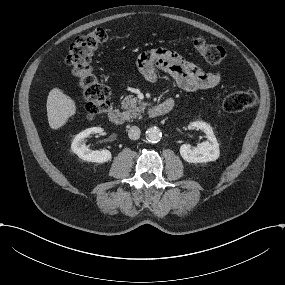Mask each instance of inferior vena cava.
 <instances>
[{
	"mask_svg": "<svg viewBox=\"0 0 285 285\" xmlns=\"http://www.w3.org/2000/svg\"><path fill=\"white\" fill-rule=\"evenodd\" d=\"M128 136L132 140H137L140 137V129L138 126H132L129 128Z\"/></svg>",
	"mask_w": 285,
	"mask_h": 285,
	"instance_id": "obj_1",
	"label": "inferior vena cava"
}]
</instances>
